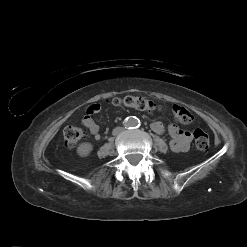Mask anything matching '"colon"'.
Segmentation results:
<instances>
[{
    "label": "colon",
    "instance_id": "obj_1",
    "mask_svg": "<svg viewBox=\"0 0 247 247\" xmlns=\"http://www.w3.org/2000/svg\"><path fill=\"white\" fill-rule=\"evenodd\" d=\"M112 103L116 106H125L129 108H134L147 113H152L157 110L158 106L151 100L141 97L128 95L123 98H115ZM174 118L182 124H190L193 122L192 113L185 107L180 105L173 106ZM64 143L67 147L73 148L83 137V132L81 129L68 126L63 132ZM195 146L199 150H206L209 147L210 139L209 135L202 129H196L193 133Z\"/></svg>",
    "mask_w": 247,
    "mask_h": 247
}]
</instances>
